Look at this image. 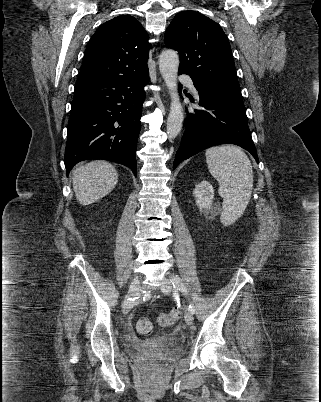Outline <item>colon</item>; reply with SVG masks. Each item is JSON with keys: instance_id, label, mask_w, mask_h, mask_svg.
I'll return each instance as SVG.
<instances>
[{"instance_id": "obj_1", "label": "colon", "mask_w": 321, "mask_h": 402, "mask_svg": "<svg viewBox=\"0 0 321 402\" xmlns=\"http://www.w3.org/2000/svg\"><path fill=\"white\" fill-rule=\"evenodd\" d=\"M181 316L179 309H173L167 314H162L159 318L163 326H172ZM136 329L141 334H149L153 330V324L150 319L141 317L136 322Z\"/></svg>"}]
</instances>
